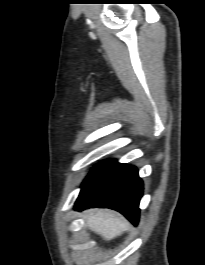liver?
Listing matches in <instances>:
<instances>
[{
  "label": "liver",
  "instance_id": "1",
  "mask_svg": "<svg viewBox=\"0 0 205 265\" xmlns=\"http://www.w3.org/2000/svg\"><path fill=\"white\" fill-rule=\"evenodd\" d=\"M85 218L88 228L105 240H112L129 229L124 218L108 210H92Z\"/></svg>",
  "mask_w": 205,
  "mask_h": 265
}]
</instances>
